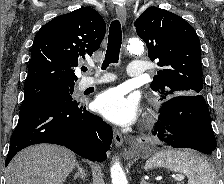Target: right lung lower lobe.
Masks as SVG:
<instances>
[{"label":"right lung lower lobe","mask_w":224,"mask_h":184,"mask_svg":"<svg viewBox=\"0 0 224 184\" xmlns=\"http://www.w3.org/2000/svg\"><path fill=\"white\" fill-rule=\"evenodd\" d=\"M111 141L112 128L80 102L42 99L20 108L5 166L18 151L38 143L58 144L86 159L103 161Z\"/></svg>","instance_id":"98d812e1"}]
</instances>
